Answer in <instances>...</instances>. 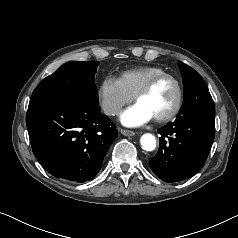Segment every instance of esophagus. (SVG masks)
<instances>
[{"instance_id":"1","label":"esophagus","mask_w":238,"mask_h":238,"mask_svg":"<svg viewBox=\"0 0 238 238\" xmlns=\"http://www.w3.org/2000/svg\"><path fill=\"white\" fill-rule=\"evenodd\" d=\"M119 131H120L121 134H123L124 136H133V135H135V132H134V131H131V130H126V129L120 128Z\"/></svg>"}]
</instances>
